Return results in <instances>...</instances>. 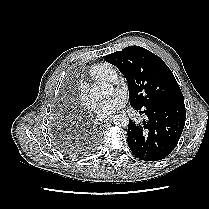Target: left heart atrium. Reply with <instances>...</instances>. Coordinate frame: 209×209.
Returning a JSON list of instances; mask_svg holds the SVG:
<instances>
[{
  "instance_id": "1",
  "label": "left heart atrium",
  "mask_w": 209,
  "mask_h": 209,
  "mask_svg": "<svg viewBox=\"0 0 209 209\" xmlns=\"http://www.w3.org/2000/svg\"><path fill=\"white\" fill-rule=\"evenodd\" d=\"M126 99V95L122 92L113 94L108 100L98 106L97 117L100 120L108 119L125 105Z\"/></svg>"
}]
</instances>
